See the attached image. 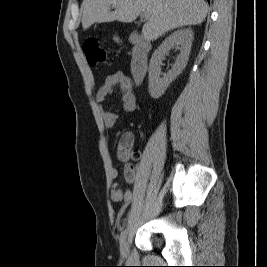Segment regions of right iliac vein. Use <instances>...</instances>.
<instances>
[{
  "instance_id": "1",
  "label": "right iliac vein",
  "mask_w": 267,
  "mask_h": 267,
  "mask_svg": "<svg viewBox=\"0 0 267 267\" xmlns=\"http://www.w3.org/2000/svg\"><path fill=\"white\" fill-rule=\"evenodd\" d=\"M128 248H129L128 241L126 239L122 240L121 244H120V253H121V258L122 259L127 258Z\"/></svg>"
}]
</instances>
